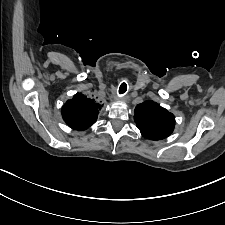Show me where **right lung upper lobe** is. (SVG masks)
Listing matches in <instances>:
<instances>
[{"label": "right lung upper lobe", "mask_w": 225, "mask_h": 225, "mask_svg": "<svg viewBox=\"0 0 225 225\" xmlns=\"http://www.w3.org/2000/svg\"><path fill=\"white\" fill-rule=\"evenodd\" d=\"M102 105L77 93L62 107V117L75 130H85L97 120Z\"/></svg>", "instance_id": "right-lung-upper-lobe-1"}]
</instances>
